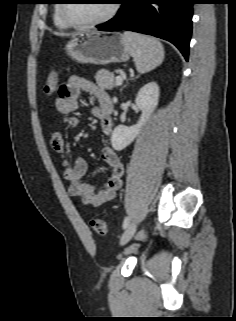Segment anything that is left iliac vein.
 Instances as JSON below:
<instances>
[{"mask_svg":"<svg viewBox=\"0 0 236 321\" xmlns=\"http://www.w3.org/2000/svg\"><path fill=\"white\" fill-rule=\"evenodd\" d=\"M136 228H137V223L136 221L131 222L125 229V231L123 232L121 239H120V243L122 245L126 244L134 235V233L136 232Z\"/></svg>","mask_w":236,"mask_h":321,"instance_id":"left-iliac-vein-1","label":"left iliac vein"}]
</instances>
